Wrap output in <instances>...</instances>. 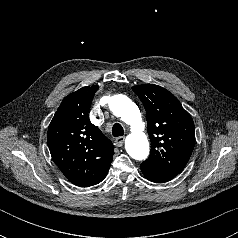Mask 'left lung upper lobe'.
<instances>
[{
  "label": "left lung upper lobe",
  "mask_w": 238,
  "mask_h": 238,
  "mask_svg": "<svg viewBox=\"0 0 238 238\" xmlns=\"http://www.w3.org/2000/svg\"><path fill=\"white\" fill-rule=\"evenodd\" d=\"M147 114L151 152L143 162L157 170L179 174L195 144V126L190 114L168 90L158 85L132 87Z\"/></svg>",
  "instance_id": "5c2ea615"
}]
</instances>
